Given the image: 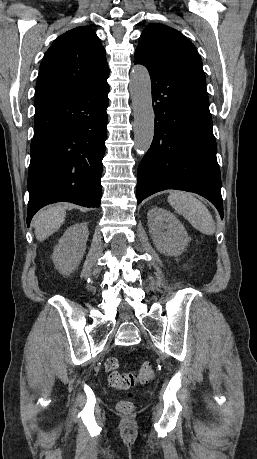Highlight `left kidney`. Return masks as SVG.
Instances as JSON below:
<instances>
[{
    "instance_id": "1",
    "label": "left kidney",
    "mask_w": 257,
    "mask_h": 459,
    "mask_svg": "<svg viewBox=\"0 0 257 459\" xmlns=\"http://www.w3.org/2000/svg\"><path fill=\"white\" fill-rule=\"evenodd\" d=\"M148 228L156 249L168 256H178L190 238L184 226L170 211L155 207L147 213Z\"/></svg>"
}]
</instances>
